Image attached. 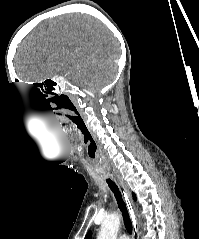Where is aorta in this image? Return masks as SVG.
<instances>
[{
	"mask_svg": "<svg viewBox=\"0 0 199 239\" xmlns=\"http://www.w3.org/2000/svg\"><path fill=\"white\" fill-rule=\"evenodd\" d=\"M120 226V215L113 213L107 216L102 225L97 239H116Z\"/></svg>",
	"mask_w": 199,
	"mask_h": 239,
	"instance_id": "aorta-1",
	"label": "aorta"
}]
</instances>
